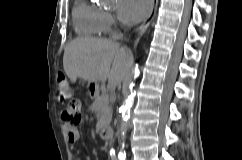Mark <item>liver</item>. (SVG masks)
Here are the masks:
<instances>
[{"label": "liver", "mask_w": 242, "mask_h": 160, "mask_svg": "<svg viewBox=\"0 0 242 160\" xmlns=\"http://www.w3.org/2000/svg\"><path fill=\"white\" fill-rule=\"evenodd\" d=\"M127 50L111 40L79 37L65 47L63 68L72 82L78 77L88 82L108 79V86L114 89L131 69L132 53L130 62H124Z\"/></svg>", "instance_id": "1"}]
</instances>
